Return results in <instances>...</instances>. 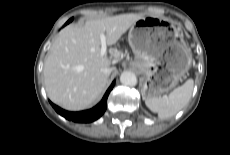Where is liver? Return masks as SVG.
<instances>
[{"instance_id": "1", "label": "liver", "mask_w": 230, "mask_h": 155, "mask_svg": "<svg viewBox=\"0 0 230 155\" xmlns=\"http://www.w3.org/2000/svg\"><path fill=\"white\" fill-rule=\"evenodd\" d=\"M143 14H120L88 20L84 26H66L55 38L44 63V84L52 102L70 111L88 108L100 100L109 75L110 58L100 55L102 34L115 44Z\"/></svg>"}]
</instances>
